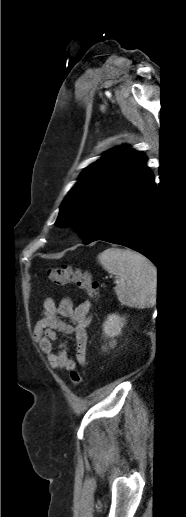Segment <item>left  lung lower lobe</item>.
Listing matches in <instances>:
<instances>
[{"label":"left lung lower lobe","instance_id":"left-lung-lower-lobe-1","mask_svg":"<svg viewBox=\"0 0 186 517\" xmlns=\"http://www.w3.org/2000/svg\"><path fill=\"white\" fill-rule=\"evenodd\" d=\"M156 197L154 177L148 169L106 213L89 243L103 240L129 247L160 269V258L155 250Z\"/></svg>","mask_w":186,"mask_h":517}]
</instances>
